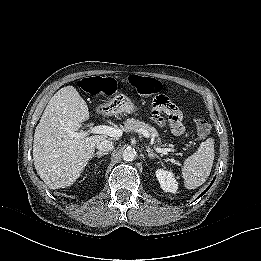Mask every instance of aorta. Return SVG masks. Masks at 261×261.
<instances>
[{
	"label": "aorta",
	"mask_w": 261,
	"mask_h": 261,
	"mask_svg": "<svg viewBox=\"0 0 261 261\" xmlns=\"http://www.w3.org/2000/svg\"><path fill=\"white\" fill-rule=\"evenodd\" d=\"M136 157H137V152L135 151L134 148L128 147L124 149V151L122 152V158L126 162L133 161L136 159Z\"/></svg>",
	"instance_id": "762f6f07"
}]
</instances>
